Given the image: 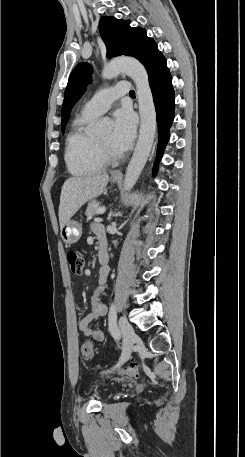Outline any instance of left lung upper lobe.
<instances>
[{
  "label": "left lung upper lobe",
  "mask_w": 245,
  "mask_h": 457,
  "mask_svg": "<svg viewBox=\"0 0 245 457\" xmlns=\"http://www.w3.org/2000/svg\"><path fill=\"white\" fill-rule=\"evenodd\" d=\"M99 31L107 48V57L127 55L142 62L148 54L157 50V44L147 37L140 27L132 28L129 21L104 16L99 22ZM92 68L88 63L78 64L72 71L64 94L62 117L69 114L90 82ZM64 120H62L63 124Z\"/></svg>",
  "instance_id": "5c2ea615"
}]
</instances>
